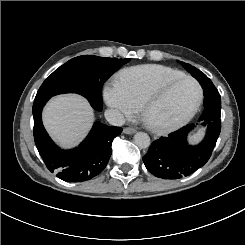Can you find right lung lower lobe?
<instances>
[{"label":"right lung lower lobe","mask_w":245,"mask_h":245,"mask_svg":"<svg viewBox=\"0 0 245 245\" xmlns=\"http://www.w3.org/2000/svg\"><path fill=\"white\" fill-rule=\"evenodd\" d=\"M49 98L33 103L34 140L46 167L67 182L89 180L102 172L112 153V141L121 134V127L96 122L87 138L73 150L57 147L45 131L41 113Z\"/></svg>","instance_id":"1"}]
</instances>
